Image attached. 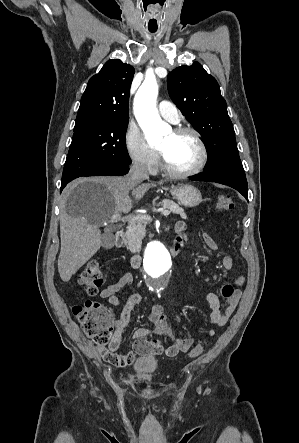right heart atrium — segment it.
Listing matches in <instances>:
<instances>
[{
	"label": "right heart atrium",
	"mask_w": 299,
	"mask_h": 443,
	"mask_svg": "<svg viewBox=\"0 0 299 443\" xmlns=\"http://www.w3.org/2000/svg\"><path fill=\"white\" fill-rule=\"evenodd\" d=\"M124 145L131 161L144 171L152 172L158 164L157 152L151 148L139 127L130 123L124 133Z\"/></svg>",
	"instance_id": "1"
}]
</instances>
